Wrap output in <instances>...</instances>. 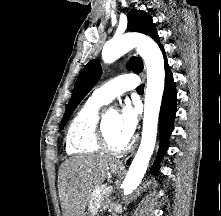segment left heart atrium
<instances>
[{
  "label": "left heart atrium",
  "instance_id": "39dd6f15",
  "mask_svg": "<svg viewBox=\"0 0 221 216\" xmlns=\"http://www.w3.org/2000/svg\"><path fill=\"white\" fill-rule=\"evenodd\" d=\"M120 128L124 136L130 139L137 128L138 112L135 107L130 104L125 105L119 114Z\"/></svg>",
  "mask_w": 221,
  "mask_h": 216
}]
</instances>
